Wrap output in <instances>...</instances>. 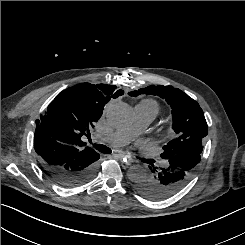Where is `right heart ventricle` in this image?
Returning <instances> with one entry per match:
<instances>
[{"label": "right heart ventricle", "mask_w": 245, "mask_h": 245, "mask_svg": "<svg viewBox=\"0 0 245 245\" xmlns=\"http://www.w3.org/2000/svg\"><path fill=\"white\" fill-rule=\"evenodd\" d=\"M139 104L153 108L157 113L159 111L158 103L153 99H144Z\"/></svg>", "instance_id": "obj_1"}]
</instances>
